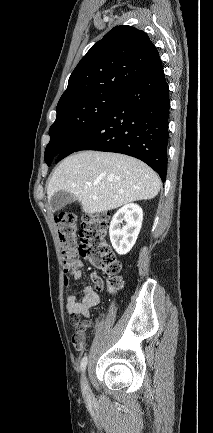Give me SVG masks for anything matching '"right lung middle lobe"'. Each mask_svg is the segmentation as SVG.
<instances>
[{"label":"right lung middle lobe","mask_w":213,"mask_h":433,"mask_svg":"<svg viewBox=\"0 0 213 433\" xmlns=\"http://www.w3.org/2000/svg\"><path fill=\"white\" fill-rule=\"evenodd\" d=\"M120 94L101 93L57 108V117L49 130L45 150L48 166L72 141L101 120L118 102Z\"/></svg>","instance_id":"obj_1"}]
</instances>
